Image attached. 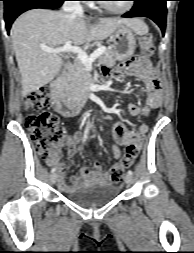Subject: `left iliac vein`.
I'll list each match as a JSON object with an SVG mask.
<instances>
[{"mask_svg":"<svg viewBox=\"0 0 194 253\" xmlns=\"http://www.w3.org/2000/svg\"><path fill=\"white\" fill-rule=\"evenodd\" d=\"M133 181H134V179H133L132 175L127 174L125 176V182H126L127 185H131L133 183Z\"/></svg>","mask_w":194,"mask_h":253,"instance_id":"1","label":"left iliac vein"}]
</instances>
